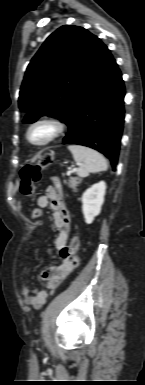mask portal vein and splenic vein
I'll return each mask as SVG.
<instances>
[{"mask_svg": "<svg viewBox=\"0 0 145 385\" xmlns=\"http://www.w3.org/2000/svg\"><path fill=\"white\" fill-rule=\"evenodd\" d=\"M76 170V168H73L72 170H69L68 172H67V174L69 175V174H71L73 171H75Z\"/></svg>", "mask_w": 145, "mask_h": 385, "instance_id": "1", "label": "portal vein and splenic vein"}]
</instances>
